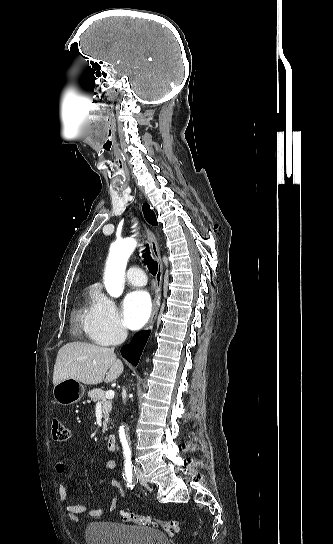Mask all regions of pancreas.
<instances>
[{
  "mask_svg": "<svg viewBox=\"0 0 333 544\" xmlns=\"http://www.w3.org/2000/svg\"><path fill=\"white\" fill-rule=\"evenodd\" d=\"M89 398L93 402L100 401L103 405V413H104V423H103V432L107 431V423L109 420V413L112 409V401L108 398H106V395L103 390L101 389H93L88 392Z\"/></svg>",
  "mask_w": 333,
  "mask_h": 544,
  "instance_id": "obj_1",
  "label": "pancreas"
}]
</instances>
